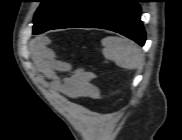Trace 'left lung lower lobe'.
Wrapping results in <instances>:
<instances>
[{
  "label": "left lung lower lobe",
  "instance_id": "obj_1",
  "mask_svg": "<svg viewBox=\"0 0 182 140\" xmlns=\"http://www.w3.org/2000/svg\"><path fill=\"white\" fill-rule=\"evenodd\" d=\"M138 0H105L72 28H101L118 32L143 46L145 31ZM69 28V27H68Z\"/></svg>",
  "mask_w": 182,
  "mask_h": 140
}]
</instances>
